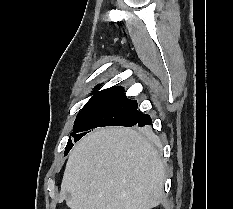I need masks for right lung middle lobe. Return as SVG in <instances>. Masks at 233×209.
I'll return each mask as SVG.
<instances>
[{
    "label": "right lung middle lobe",
    "mask_w": 233,
    "mask_h": 209,
    "mask_svg": "<svg viewBox=\"0 0 233 209\" xmlns=\"http://www.w3.org/2000/svg\"><path fill=\"white\" fill-rule=\"evenodd\" d=\"M142 113L136 103H97L85 105L78 113L73 125L72 139L69 138L65 155L90 129L104 126H134Z\"/></svg>",
    "instance_id": "1"
}]
</instances>
